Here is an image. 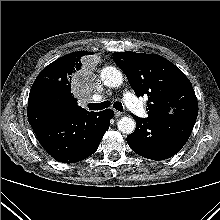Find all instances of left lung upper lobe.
Returning <instances> with one entry per match:
<instances>
[{
	"label": "left lung upper lobe",
	"mask_w": 220,
	"mask_h": 220,
	"mask_svg": "<svg viewBox=\"0 0 220 220\" xmlns=\"http://www.w3.org/2000/svg\"><path fill=\"white\" fill-rule=\"evenodd\" d=\"M114 62L124 72L137 96H148L149 120L187 117L196 119L198 102L186 75L156 54L115 52Z\"/></svg>",
	"instance_id": "1"
}]
</instances>
